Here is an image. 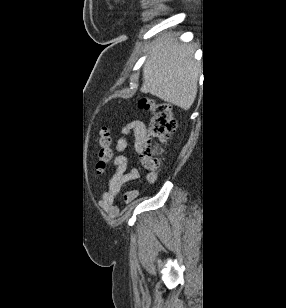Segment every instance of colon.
<instances>
[{
	"label": "colon",
	"instance_id": "5ec220e1",
	"mask_svg": "<svg viewBox=\"0 0 286 308\" xmlns=\"http://www.w3.org/2000/svg\"><path fill=\"white\" fill-rule=\"evenodd\" d=\"M142 109L150 112V122L145 138L139 147L144 167L149 171H156L159 167L163 145L175 132L177 123L172 117L170 103L153 98H143L139 101ZM112 135L108 127H102L99 134L97 173H102L113 159Z\"/></svg>",
	"mask_w": 286,
	"mask_h": 308
}]
</instances>
